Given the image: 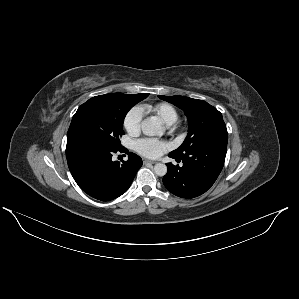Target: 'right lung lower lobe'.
<instances>
[{
  "label": "right lung lower lobe",
  "mask_w": 299,
  "mask_h": 299,
  "mask_svg": "<svg viewBox=\"0 0 299 299\" xmlns=\"http://www.w3.org/2000/svg\"><path fill=\"white\" fill-rule=\"evenodd\" d=\"M118 151H123V148L91 141L67 144L69 170L85 193L95 199L108 201L128 190L142 166V160L129 152L127 161H113L112 156Z\"/></svg>",
  "instance_id": "98d812e1"
}]
</instances>
